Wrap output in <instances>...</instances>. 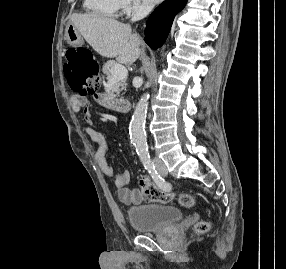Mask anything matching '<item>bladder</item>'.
Returning <instances> with one entry per match:
<instances>
[{
  "instance_id": "obj_1",
  "label": "bladder",
  "mask_w": 286,
  "mask_h": 269,
  "mask_svg": "<svg viewBox=\"0 0 286 269\" xmlns=\"http://www.w3.org/2000/svg\"><path fill=\"white\" fill-rule=\"evenodd\" d=\"M128 221L132 228L141 233H155L182 220L178 207L163 203H147L127 210Z\"/></svg>"
}]
</instances>
